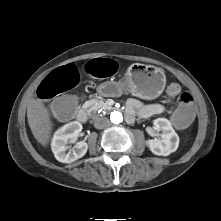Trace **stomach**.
<instances>
[{"mask_svg":"<svg viewBox=\"0 0 221 221\" xmlns=\"http://www.w3.org/2000/svg\"><path fill=\"white\" fill-rule=\"evenodd\" d=\"M166 84L164 71L152 65L134 63L118 82H111L113 93L128 92L141 99H155L161 95Z\"/></svg>","mask_w":221,"mask_h":221,"instance_id":"0dacf381","label":"stomach"}]
</instances>
